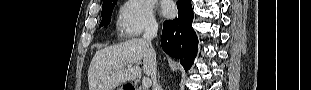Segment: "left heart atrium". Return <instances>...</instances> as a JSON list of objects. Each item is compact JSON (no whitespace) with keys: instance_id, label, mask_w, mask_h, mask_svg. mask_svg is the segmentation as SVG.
Instances as JSON below:
<instances>
[{"instance_id":"left-heart-atrium-1","label":"left heart atrium","mask_w":311,"mask_h":90,"mask_svg":"<svg viewBox=\"0 0 311 90\" xmlns=\"http://www.w3.org/2000/svg\"><path fill=\"white\" fill-rule=\"evenodd\" d=\"M175 11L174 5L170 2H167L163 6V14L167 17H170L173 15Z\"/></svg>"}]
</instances>
